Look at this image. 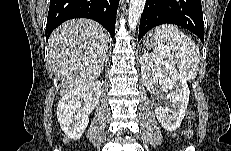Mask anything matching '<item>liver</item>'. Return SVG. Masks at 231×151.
Masks as SVG:
<instances>
[{"instance_id":"liver-1","label":"liver","mask_w":231,"mask_h":151,"mask_svg":"<svg viewBox=\"0 0 231 151\" xmlns=\"http://www.w3.org/2000/svg\"><path fill=\"white\" fill-rule=\"evenodd\" d=\"M108 43L107 31L88 19L67 21L52 32L49 58L52 70L61 82V95L100 76Z\"/></svg>"}]
</instances>
